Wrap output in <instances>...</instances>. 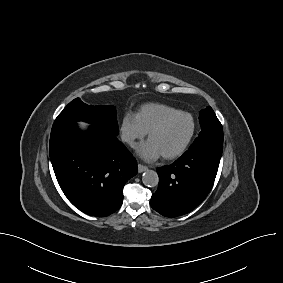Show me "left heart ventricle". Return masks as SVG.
<instances>
[{"label": "left heart ventricle", "instance_id": "obj_1", "mask_svg": "<svg viewBox=\"0 0 283 283\" xmlns=\"http://www.w3.org/2000/svg\"><path fill=\"white\" fill-rule=\"evenodd\" d=\"M191 131L189 117L180 115L172 118L161 130L149 139L158 147L161 154L176 151L185 142Z\"/></svg>", "mask_w": 283, "mask_h": 283}]
</instances>
